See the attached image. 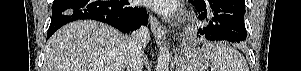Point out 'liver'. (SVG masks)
I'll list each match as a JSON object with an SVG mask.
<instances>
[{
  "label": "liver",
  "mask_w": 301,
  "mask_h": 71,
  "mask_svg": "<svg viewBox=\"0 0 301 71\" xmlns=\"http://www.w3.org/2000/svg\"><path fill=\"white\" fill-rule=\"evenodd\" d=\"M130 51L127 35L107 24L79 20L50 37L43 71H124Z\"/></svg>",
  "instance_id": "1"
}]
</instances>
